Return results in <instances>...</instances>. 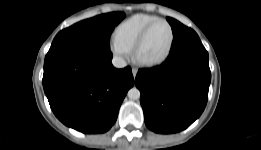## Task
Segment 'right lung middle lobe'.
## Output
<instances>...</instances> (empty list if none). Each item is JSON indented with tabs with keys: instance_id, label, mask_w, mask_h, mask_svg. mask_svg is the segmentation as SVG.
Returning a JSON list of instances; mask_svg holds the SVG:
<instances>
[{
	"instance_id": "1",
	"label": "right lung middle lobe",
	"mask_w": 261,
	"mask_h": 150,
	"mask_svg": "<svg viewBox=\"0 0 261 150\" xmlns=\"http://www.w3.org/2000/svg\"><path fill=\"white\" fill-rule=\"evenodd\" d=\"M124 17L123 12H112L76 23L60 31L54 38L50 49L78 45L109 50L110 35Z\"/></svg>"
}]
</instances>
